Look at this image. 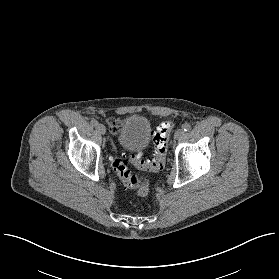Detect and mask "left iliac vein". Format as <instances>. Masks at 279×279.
<instances>
[{
    "instance_id": "left-iliac-vein-1",
    "label": "left iliac vein",
    "mask_w": 279,
    "mask_h": 279,
    "mask_svg": "<svg viewBox=\"0 0 279 279\" xmlns=\"http://www.w3.org/2000/svg\"><path fill=\"white\" fill-rule=\"evenodd\" d=\"M184 130L183 129H178L176 132H175V135H174V138L176 140H180L183 136H184Z\"/></svg>"
}]
</instances>
